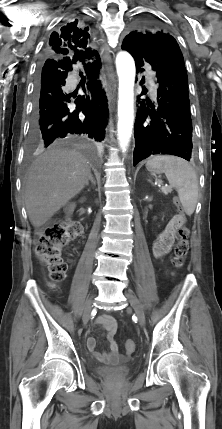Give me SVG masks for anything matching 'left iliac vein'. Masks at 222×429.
I'll use <instances>...</instances> for the list:
<instances>
[{
    "label": "left iliac vein",
    "mask_w": 222,
    "mask_h": 429,
    "mask_svg": "<svg viewBox=\"0 0 222 429\" xmlns=\"http://www.w3.org/2000/svg\"><path fill=\"white\" fill-rule=\"evenodd\" d=\"M125 296L134 309V312L138 317L139 324L143 327L145 325V314L139 300L131 292H126Z\"/></svg>",
    "instance_id": "obj_1"
}]
</instances>
